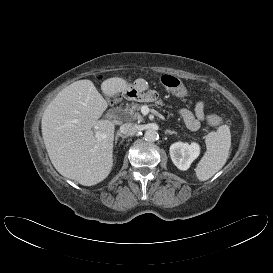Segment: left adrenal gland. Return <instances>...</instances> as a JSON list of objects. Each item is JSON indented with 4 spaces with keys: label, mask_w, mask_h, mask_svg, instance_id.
Listing matches in <instances>:
<instances>
[{
    "label": "left adrenal gland",
    "mask_w": 273,
    "mask_h": 273,
    "mask_svg": "<svg viewBox=\"0 0 273 273\" xmlns=\"http://www.w3.org/2000/svg\"><path fill=\"white\" fill-rule=\"evenodd\" d=\"M165 134H176V132L175 131H171V130H166Z\"/></svg>",
    "instance_id": "left-adrenal-gland-1"
}]
</instances>
